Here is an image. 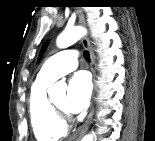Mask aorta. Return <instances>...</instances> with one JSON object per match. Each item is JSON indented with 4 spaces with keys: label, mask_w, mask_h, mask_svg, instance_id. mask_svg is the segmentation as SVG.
<instances>
[{
    "label": "aorta",
    "mask_w": 155,
    "mask_h": 141,
    "mask_svg": "<svg viewBox=\"0 0 155 141\" xmlns=\"http://www.w3.org/2000/svg\"><path fill=\"white\" fill-rule=\"evenodd\" d=\"M86 34V29L81 26H75L71 28H66L56 40V44L59 48H67L77 42ZM67 86L64 82H58L53 85L49 90V95L53 96L57 93L64 94ZM94 135L88 134L82 138L81 141H93Z\"/></svg>",
    "instance_id": "1"
}]
</instances>
